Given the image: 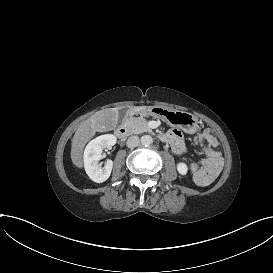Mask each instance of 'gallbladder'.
<instances>
[{
	"label": "gallbladder",
	"mask_w": 273,
	"mask_h": 273,
	"mask_svg": "<svg viewBox=\"0 0 273 273\" xmlns=\"http://www.w3.org/2000/svg\"><path fill=\"white\" fill-rule=\"evenodd\" d=\"M135 112L136 111V108L135 107H132L131 109L130 108H125V107H120L119 108V113H118V118H119V121L123 120L126 118V112L127 113H130V112Z\"/></svg>",
	"instance_id": "1"
}]
</instances>
